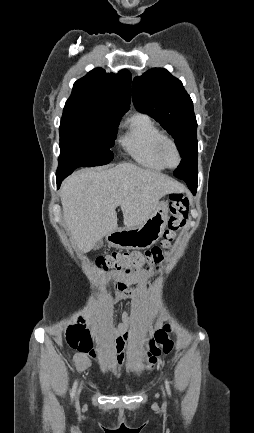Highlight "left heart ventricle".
Here are the masks:
<instances>
[{
    "label": "left heart ventricle",
    "mask_w": 254,
    "mask_h": 433,
    "mask_svg": "<svg viewBox=\"0 0 254 433\" xmlns=\"http://www.w3.org/2000/svg\"><path fill=\"white\" fill-rule=\"evenodd\" d=\"M162 157L169 166H175L178 162L176 151L170 143H165L162 147Z\"/></svg>",
    "instance_id": "b2bd125f"
}]
</instances>
